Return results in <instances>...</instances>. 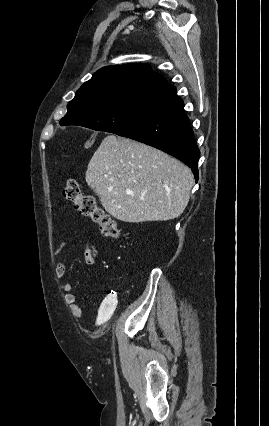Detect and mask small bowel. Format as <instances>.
Listing matches in <instances>:
<instances>
[{"label": "small bowel", "instance_id": "obj_1", "mask_svg": "<svg viewBox=\"0 0 269 426\" xmlns=\"http://www.w3.org/2000/svg\"><path fill=\"white\" fill-rule=\"evenodd\" d=\"M66 247V242H62L58 249L56 250V254L60 253ZM98 257V251L95 244L91 241H87L84 246V259L87 265H94L96 263ZM55 274L58 279H60V290L65 293L64 301L70 307L72 313L75 316H81L83 314L82 307L77 303L76 296L71 292V284L64 280V276L66 274V265L63 261L58 262L55 268Z\"/></svg>", "mask_w": 269, "mask_h": 426}]
</instances>
